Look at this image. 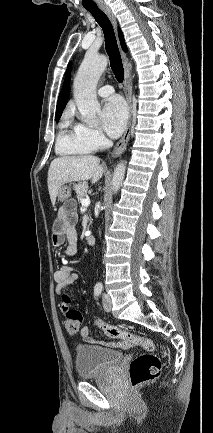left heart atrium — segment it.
Wrapping results in <instances>:
<instances>
[{"label":"left heart atrium","mask_w":213,"mask_h":433,"mask_svg":"<svg viewBox=\"0 0 213 433\" xmlns=\"http://www.w3.org/2000/svg\"><path fill=\"white\" fill-rule=\"evenodd\" d=\"M128 111L120 97L109 98L102 109L103 128L113 138L120 136L127 123Z\"/></svg>","instance_id":"left-heart-atrium-1"}]
</instances>
